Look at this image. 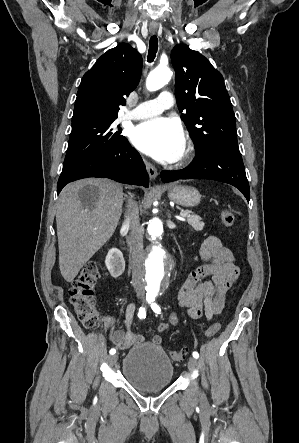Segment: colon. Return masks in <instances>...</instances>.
Here are the masks:
<instances>
[{
    "instance_id": "5ec220e1",
    "label": "colon",
    "mask_w": 299,
    "mask_h": 443,
    "mask_svg": "<svg viewBox=\"0 0 299 443\" xmlns=\"http://www.w3.org/2000/svg\"><path fill=\"white\" fill-rule=\"evenodd\" d=\"M220 218L226 227H231L234 224L235 217L231 210H223ZM100 276L99 262L90 260L84 265L69 290L71 306L79 321L88 329L105 328L109 326V321L98 313L94 304L93 290ZM220 328V322L213 323L207 329L206 336L213 337ZM185 354L186 349L181 348L172 351L170 356L173 360L180 361L184 358Z\"/></svg>"
}]
</instances>
